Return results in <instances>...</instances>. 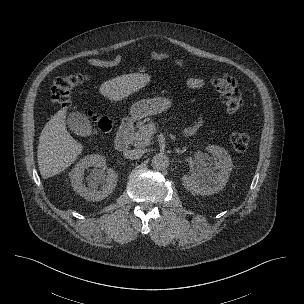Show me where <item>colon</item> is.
Instances as JSON below:
<instances>
[{"mask_svg": "<svg viewBox=\"0 0 304 304\" xmlns=\"http://www.w3.org/2000/svg\"><path fill=\"white\" fill-rule=\"evenodd\" d=\"M86 75L75 73L58 77L51 88V99L60 107L71 106V94L73 89L86 80ZM212 85L220 94L221 101L228 112L234 113L243 105V98L237 86L236 80L224 73L212 80ZM92 118L95 132H107L111 129V121L96 113H89ZM230 141L235 150L244 152L250 145V137L246 133L234 132L230 135Z\"/></svg>", "mask_w": 304, "mask_h": 304, "instance_id": "obj_1", "label": "colon"}]
</instances>
